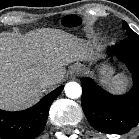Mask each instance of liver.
Instances as JSON below:
<instances>
[{
    "instance_id": "1",
    "label": "liver",
    "mask_w": 139,
    "mask_h": 139,
    "mask_svg": "<svg viewBox=\"0 0 139 139\" xmlns=\"http://www.w3.org/2000/svg\"><path fill=\"white\" fill-rule=\"evenodd\" d=\"M92 56L88 42L61 30L40 29L18 38L0 35V108L32 105L42 94V77L52 76L58 84L66 65Z\"/></svg>"
}]
</instances>
